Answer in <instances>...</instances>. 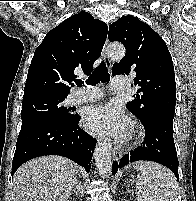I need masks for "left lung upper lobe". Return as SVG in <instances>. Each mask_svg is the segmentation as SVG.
I'll list each match as a JSON object with an SVG mask.
<instances>
[{"label": "left lung upper lobe", "mask_w": 196, "mask_h": 201, "mask_svg": "<svg viewBox=\"0 0 196 201\" xmlns=\"http://www.w3.org/2000/svg\"><path fill=\"white\" fill-rule=\"evenodd\" d=\"M108 38L120 41L126 49L124 58L113 65L112 75L136 72L139 86L127 109L143 124L154 118H174L176 83L173 61L164 40L148 24L131 15L109 25Z\"/></svg>", "instance_id": "obj_1"}]
</instances>
